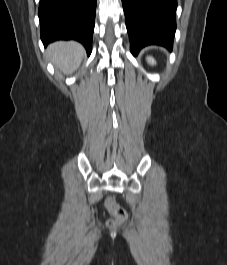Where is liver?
Returning <instances> with one entry per match:
<instances>
[{"mask_svg": "<svg viewBox=\"0 0 227 265\" xmlns=\"http://www.w3.org/2000/svg\"><path fill=\"white\" fill-rule=\"evenodd\" d=\"M47 53L54 66L69 75L80 66L85 50L78 42L58 41L48 47Z\"/></svg>", "mask_w": 227, "mask_h": 265, "instance_id": "liver-1", "label": "liver"}]
</instances>
